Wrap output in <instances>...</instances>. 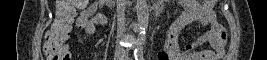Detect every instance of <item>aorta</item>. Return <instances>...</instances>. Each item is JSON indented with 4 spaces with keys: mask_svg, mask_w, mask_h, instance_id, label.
Listing matches in <instances>:
<instances>
[{
    "mask_svg": "<svg viewBox=\"0 0 267 60\" xmlns=\"http://www.w3.org/2000/svg\"><path fill=\"white\" fill-rule=\"evenodd\" d=\"M137 12V19H138V45L136 47V52H142L143 45L146 40V30L148 27L149 21V11H148V4L147 0H136L135 6Z\"/></svg>",
    "mask_w": 267,
    "mask_h": 60,
    "instance_id": "obj_1",
    "label": "aorta"
}]
</instances>
